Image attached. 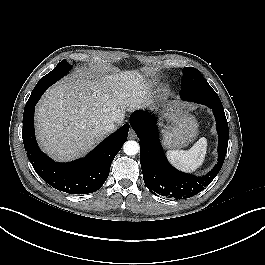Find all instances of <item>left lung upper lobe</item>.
Segmentation results:
<instances>
[{
    "label": "left lung upper lobe",
    "instance_id": "1",
    "mask_svg": "<svg viewBox=\"0 0 265 265\" xmlns=\"http://www.w3.org/2000/svg\"><path fill=\"white\" fill-rule=\"evenodd\" d=\"M182 89L180 95L183 96L187 92L191 91L197 87H210L208 82L202 76V74L194 67H184L183 68V77L181 81ZM217 103L222 105L219 97Z\"/></svg>",
    "mask_w": 265,
    "mask_h": 265
}]
</instances>
